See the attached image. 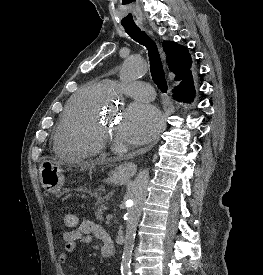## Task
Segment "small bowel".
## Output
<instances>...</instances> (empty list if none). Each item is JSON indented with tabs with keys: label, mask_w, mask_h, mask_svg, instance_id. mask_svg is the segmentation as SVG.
<instances>
[{
	"label": "small bowel",
	"mask_w": 263,
	"mask_h": 275,
	"mask_svg": "<svg viewBox=\"0 0 263 275\" xmlns=\"http://www.w3.org/2000/svg\"><path fill=\"white\" fill-rule=\"evenodd\" d=\"M75 229L66 230L62 233V239L64 242L63 249L59 255V261L65 264L68 261L69 255L72 254L77 246L87 245L95 237L103 242V238L106 234L104 228L93 221L86 219L75 226ZM104 245L102 247L103 251ZM68 275V273H65Z\"/></svg>",
	"instance_id": "small-bowel-1"
}]
</instances>
